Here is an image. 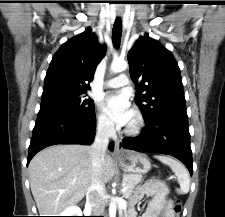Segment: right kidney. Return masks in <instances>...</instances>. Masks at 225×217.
<instances>
[{
    "label": "right kidney",
    "mask_w": 225,
    "mask_h": 217,
    "mask_svg": "<svg viewBox=\"0 0 225 217\" xmlns=\"http://www.w3.org/2000/svg\"><path fill=\"white\" fill-rule=\"evenodd\" d=\"M60 216H82L80 208L74 206L66 209Z\"/></svg>",
    "instance_id": "ca27d5eb"
}]
</instances>
